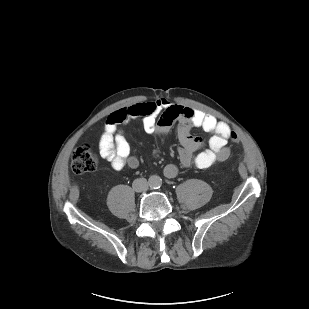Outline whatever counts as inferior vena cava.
Returning <instances> with one entry per match:
<instances>
[{
	"mask_svg": "<svg viewBox=\"0 0 309 309\" xmlns=\"http://www.w3.org/2000/svg\"><path fill=\"white\" fill-rule=\"evenodd\" d=\"M132 187L136 192L146 191L148 189V182L145 178L135 179Z\"/></svg>",
	"mask_w": 309,
	"mask_h": 309,
	"instance_id": "obj_1",
	"label": "inferior vena cava"
}]
</instances>
